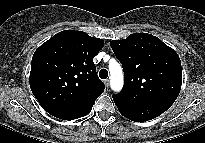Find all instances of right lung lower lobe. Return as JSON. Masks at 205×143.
Wrapping results in <instances>:
<instances>
[{
	"label": "right lung lower lobe",
	"mask_w": 205,
	"mask_h": 143,
	"mask_svg": "<svg viewBox=\"0 0 205 143\" xmlns=\"http://www.w3.org/2000/svg\"><path fill=\"white\" fill-rule=\"evenodd\" d=\"M94 103L91 104L89 107H87L84 111H82L80 113H77V114H60V115H53V116H55L57 118H60V119H63V120L78 119L80 117H83V116L87 115L91 111L92 106L94 105Z\"/></svg>",
	"instance_id": "obj_1"
}]
</instances>
